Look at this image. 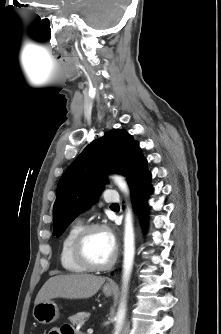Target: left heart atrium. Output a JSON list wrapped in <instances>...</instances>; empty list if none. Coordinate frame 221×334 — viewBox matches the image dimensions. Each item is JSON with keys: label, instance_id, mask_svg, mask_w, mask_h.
<instances>
[{"label": "left heart atrium", "instance_id": "obj_1", "mask_svg": "<svg viewBox=\"0 0 221 334\" xmlns=\"http://www.w3.org/2000/svg\"><path fill=\"white\" fill-rule=\"evenodd\" d=\"M109 234H110L111 241L115 244V238H114V236L111 233H109Z\"/></svg>", "mask_w": 221, "mask_h": 334}]
</instances>
